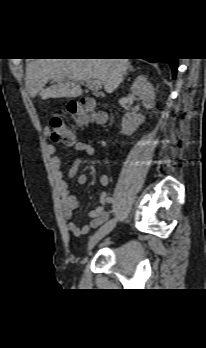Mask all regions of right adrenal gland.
<instances>
[{"mask_svg":"<svg viewBox=\"0 0 206 348\" xmlns=\"http://www.w3.org/2000/svg\"><path fill=\"white\" fill-rule=\"evenodd\" d=\"M128 71L133 72V71H135V69H134L131 65H129ZM126 74H127V73H125V75H126Z\"/></svg>","mask_w":206,"mask_h":348,"instance_id":"right-adrenal-gland-1","label":"right adrenal gland"}]
</instances>
